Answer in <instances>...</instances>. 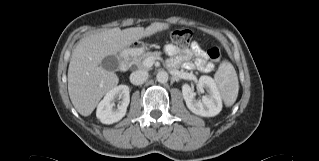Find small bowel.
Instances as JSON below:
<instances>
[{
  "instance_id": "small-bowel-1",
  "label": "small bowel",
  "mask_w": 319,
  "mask_h": 161,
  "mask_svg": "<svg viewBox=\"0 0 319 161\" xmlns=\"http://www.w3.org/2000/svg\"><path fill=\"white\" fill-rule=\"evenodd\" d=\"M165 52L171 57L169 60V66L171 67L182 65L187 70L198 69L205 73L212 70V65L207 61L204 50L196 42L183 49L169 44L165 47ZM193 57H195V60L191 61Z\"/></svg>"
}]
</instances>
